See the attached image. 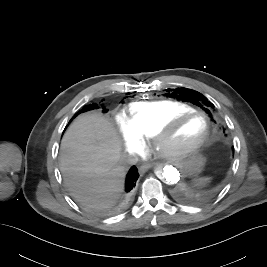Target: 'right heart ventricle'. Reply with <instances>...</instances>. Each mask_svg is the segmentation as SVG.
Segmentation results:
<instances>
[{
    "label": "right heart ventricle",
    "instance_id": "1",
    "mask_svg": "<svg viewBox=\"0 0 267 267\" xmlns=\"http://www.w3.org/2000/svg\"><path fill=\"white\" fill-rule=\"evenodd\" d=\"M193 109L192 106L181 101H139L131 103L124 116L130 129L141 138L149 139L165 121L174 115Z\"/></svg>",
    "mask_w": 267,
    "mask_h": 267
}]
</instances>
